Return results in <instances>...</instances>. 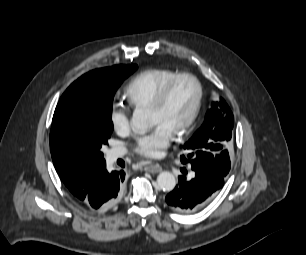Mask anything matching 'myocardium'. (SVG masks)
<instances>
[{"label": "myocardium", "mask_w": 306, "mask_h": 255, "mask_svg": "<svg viewBox=\"0 0 306 255\" xmlns=\"http://www.w3.org/2000/svg\"><path fill=\"white\" fill-rule=\"evenodd\" d=\"M183 78H189L196 84L198 94L191 115L181 126H179L176 130L172 132V134L176 137L184 135L194 125L201 112L204 100V87L200 79L192 73L184 72L177 74L160 90V92L155 96V98L148 107L149 110L160 109L165 104L175 84Z\"/></svg>", "instance_id": "1"}]
</instances>
